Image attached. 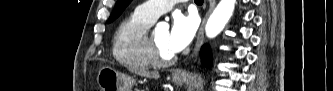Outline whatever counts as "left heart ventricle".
Instances as JSON below:
<instances>
[{"label":"left heart ventricle","instance_id":"b2bd125f","mask_svg":"<svg viewBox=\"0 0 333 91\" xmlns=\"http://www.w3.org/2000/svg\"><path fill=\"white\" fill-rule=\"evenodd\" d=\"M168 33L169 31L167 29H160L152 34L156 46L159 48L162 55L166 57L173 55L168 48Z\"/></svg>","mask_w":333,"mask_h":91}]
</instances>
